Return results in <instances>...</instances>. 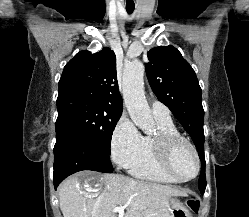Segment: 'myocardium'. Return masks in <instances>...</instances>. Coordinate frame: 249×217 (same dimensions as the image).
<instances>
[{
  "label": "myocardium",
  "mask_w": 249,
  "mask_h": 217,
  "mask_svg": "<svg viewBox=\"0 0 249 217\" xmlns=\"http://www.w3.org/2000/svg\"><path fill=\"white\" fill-rule=\"evenodd\" d=\"M154 145L163 169L172 178L179 182H187L197 177L200 171V157L196 147L187 138L180 134L160 132L155 136ZM180 145H186L191 150L195 158V172L192 176L187 178L179 176L172 165L173 154L176 148Z\"/></svg>",
  "instance_id": "f54148a6"
}]
</instances>
